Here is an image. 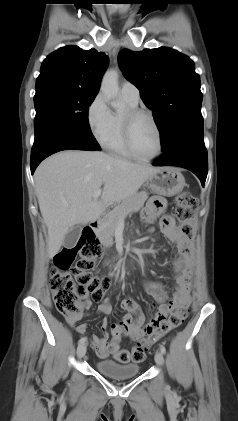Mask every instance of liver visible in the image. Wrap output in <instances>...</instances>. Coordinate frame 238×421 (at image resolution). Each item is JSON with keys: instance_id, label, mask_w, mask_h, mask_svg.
<instances>
[{"instance_id": "obj_1", "label": "liver", "mask_w": 238, "mask_h": 421, "mask_svg": "<svg viewBox=\"0 0 238 421\" xmlns=\"http://www.w3.org/2000/svg\"><path fill=\"white\" fill-rule=\"evenodd\" d=\"M158 169L101 151L68 150L44 160L34 180L48 229L49 258L58 253L71 228L98 219L110 204L136 194ZM101 186V199L94 200L93 194Z\"/></svg>"}]
</instances>
